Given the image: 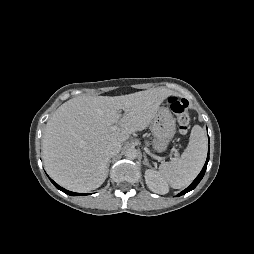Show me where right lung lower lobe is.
Returning a JSON list of instances; mask_svg holds the SVG:
<instances>
[{
  "mask_svg": "<svg viewBox=\"0 0 254 254\" xmlns=\"http://www.w3.org/2000/svg\"><path fill=\"white\" fill-rule=\"evenodd\" d=\"M51 182L55 185V187L59 190H61L62 192L70 195V196H78V195H87V194H82V193H75V192H71V191H68L62 187H60L58 184H56L52 179H50Z\"/></svg>",
  "mask_w": 254,
  "mask_h": 254,
  "instance_id": "obj_1",
  "label": "right lung lower lobe"
}]
</instances>
